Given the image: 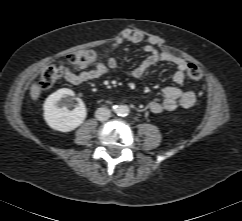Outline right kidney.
Here are the masks:
<instances>
[{"mask_svg": "<svg viewBox=\"0 0 242 221\" xmlns=\"http://www.w3.org/2000/svg\"><path fill=\"white\" fill-rule=\"evenodd\" d=\"M68 88H62L52 93L44 103V119L47 125L57 131L70 132L80 126L87 110L80 98L74 96ZM74 101H77L74 104ZM74 107L70 110V108Z\"/></svg>", "mask_w": 242, "mask_h": 221, "instance_id": "right-kidney-1", "label": "right kidney"}]
</instances>
